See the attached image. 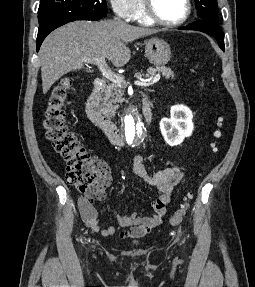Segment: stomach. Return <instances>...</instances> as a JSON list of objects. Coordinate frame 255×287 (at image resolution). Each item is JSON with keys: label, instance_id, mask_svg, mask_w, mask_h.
<instances>
[{"label": "stomach", "instance_id": "obj_1", "mask_svg": "<svg viewBox=\"0 0 255 287\" xmlns=\"http://www.w3.org/2000/svg\"><path fill=\"white\" fill-rule=\"evenodd\" d=\"M145 56L154 66H165L171 58V48L165 40L151 38L145 46Z\"/></svg>", "mask_w": 255, "mask_h": 287}]
</instances>
